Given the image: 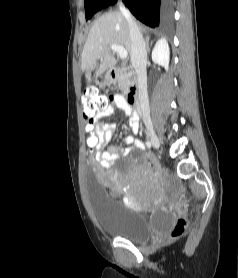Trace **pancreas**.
<instances>
[{
	"label": "pancreas",
	"mask_w": 238,
	"mask_h": 278,
	"mask_svg": "<svg viewBox=\"0 0 238 278\" xmlns=\"http://www.w3.org/2000/svg\"><path fill=\"white\" fill-rule=\"evenodd\" d=\"M132 84L131 76L129 73H123L118 79V87L122 91H127Z\"/></svg>",
	"instance_id": "1"
}]
</instances>
